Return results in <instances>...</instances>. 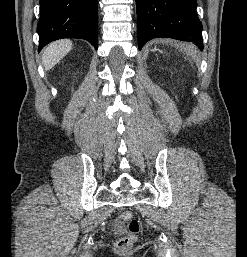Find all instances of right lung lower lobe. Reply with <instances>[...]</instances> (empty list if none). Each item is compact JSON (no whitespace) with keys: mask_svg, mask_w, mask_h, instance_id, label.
<instances>
[{"mask_svg":"<svg viewBox=\"0 0 247 257\" xmlns=\"http://www.w3.org/2000/svg\"><path fill=\"white\" fill-rule=\"evenodd\" d=\"M40 51L62 38L85 39L98 48L97 0H40Z\"/></svg>","mask_w":247,"mask_h":257,"instance_id":"1","label":"right lung lower lobe"}]
</instances>
